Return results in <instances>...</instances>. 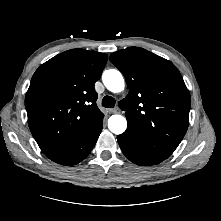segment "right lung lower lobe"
<instances>
[{
  "label": "right lung lower lobe",
  "mask_w": 221,
  "mask_h": 221,
  "mask_svg": "<svg viewBox=\"0 0 221 221\" xmlns=\"http://www.w3.org/2000/svg\"><path fill=\"white\" fill-rule=\"evenodd\" d=\"M104 115L93 120L85 131L71 144L44 153L50 160L62 165H74L84 160L102 131Z\"/></svg>",
  "instance_id": "1"
}]
</instances>
